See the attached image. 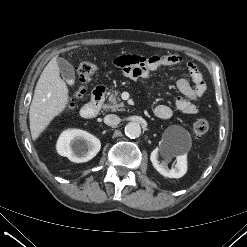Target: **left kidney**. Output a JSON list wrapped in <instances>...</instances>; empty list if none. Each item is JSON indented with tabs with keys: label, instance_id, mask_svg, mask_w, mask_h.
Instances as JSON below:
<instances>
[{
	"label": "left kidney",
	"instance_id": "obj_1",
	"mask_svg": "<svg viewBox=\"0 0 247 247\" xmlns=\"http://www.w3.org/2000/svg\"><path fill=\"white\" fill-rule=\"evenodd\" d=\"M159 152L165 157V161L159 160ZM173 157L176 158V163L169 169L167 162L171 161ZM150 160L154 168L164 177L180 178L187 171V154L180 153L164 142H160L159 147L151 152Z\"/></svg>",
	"mask_w": 247,
	"mask_h": 247
}]
</instances>
